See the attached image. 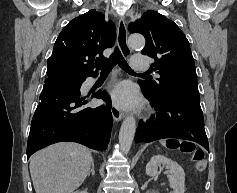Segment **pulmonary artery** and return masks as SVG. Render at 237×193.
Instances as JSON below:
<instances>
[{
	"instance_id": "pulmonary-artery-1",
	"label": "pulmonary artery",
	"mask_w": 237,
	"mask_h": 193,
	"mask_svg": "<svg viewBox=\"0 0 237 193\" xmlns=\"http://www.w3.org/2000/svg\"><path fill=\"white\" fill-rule=\"evenodd\" d=\"M130 62L134 70L145 71L148 69V63L144 56H133Z\"/></svg>"
}]
</instances>
